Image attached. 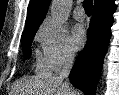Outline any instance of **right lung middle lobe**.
I'll use <instances>...</instances> for the list:
<instances>
[{"label": "right lung middle lobe", "instance_id": "right-lung-middle-lobe-1", "mask_svg": "<svg viewBox=\"0 0 119 95\" xmlns=\"http://www.w3.org/2000/svg\"><path fill=\"white\" fill-rule=\"evenodd\" d=\"M37 30L38 29L31 30L29 32L22 34L21 43H22L25 59H29L31 56V44Z\"/></svg>", "mask_w": 119, "mask_h": 95}]
</instances>
